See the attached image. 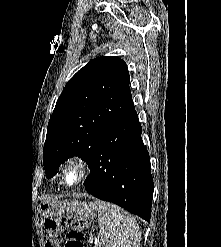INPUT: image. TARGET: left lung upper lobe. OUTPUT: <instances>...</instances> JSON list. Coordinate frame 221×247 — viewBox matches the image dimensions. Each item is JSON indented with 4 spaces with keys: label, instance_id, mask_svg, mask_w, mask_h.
Wrapping results in <instances>:
<instances>
[{
    "label": "left lung upper lobe",
    "instance_id": "left-lung-upper-lobe-1",
    "mask_svg": "<svg viewBox=\"0 0 221 247\" xmlns=\"http://www.w3.org/2000/svg\"><path fill=\"white\" fill-rule=\"evenodd\" d=\"M126 63L114 56L95 58L66 84L50 117L43 149L46 177L79 156L89 164L107 128L135 111Z\"/></svg>",
    "mask_w": 221,
    "mask_h": 247
}]
</instances>
